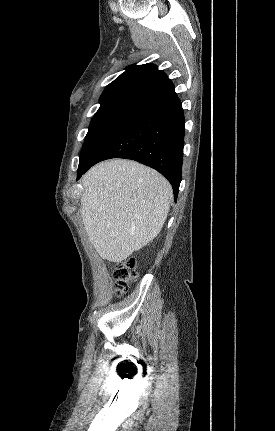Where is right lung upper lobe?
Listing matches in <instances>:
<instances>
[{
  "mask_svg": "<svg viewBox=\"0 0 275 431\" xmlns=\"http://www.w3.org/2000/svg\"><path fill=\"white\" fill-rule=\"evenodd\" d=\"M174 88L171 80L156 65H131L106 87L96 114L115 110L137 111Z\"/></svg>",
  "mask_w": 275,
  "mask_h": 431,
  "instance_id": "cb5924a9",
  "label": "right lung upper lobe"
}]
</instances>
